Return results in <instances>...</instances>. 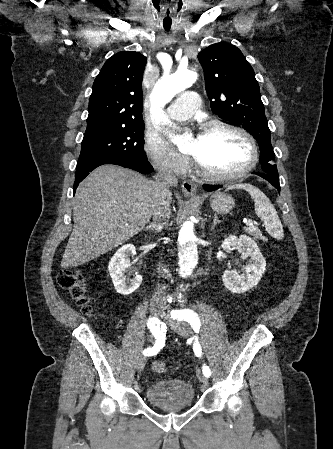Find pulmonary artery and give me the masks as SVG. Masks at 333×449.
I'll return each instance as SVG.
<instances>
[{
  "label": "pulmonary artery",
  "mask_w": 333,
  "mask_h": 449,
  "mask_svg": "<svg viewBox=\"0 0 333 449\" xmlns=\"http://www.w3.org/2000/svg\"><path fill=\"white\" fill-rule=\"evenodd\" d=\"M199 102V95L195 91H185L169 105L167 114L174 120H186L198 108Z\"/></svg>",
  "instance_id": "obj_1"
}]
</instances>
